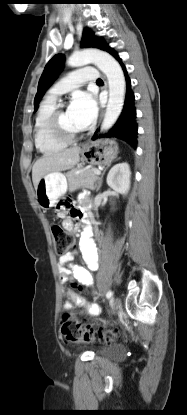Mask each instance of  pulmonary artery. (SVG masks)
Here are the masks:
<instances>
[{"label": "pulmonary artery", "instance_id": "pulmonary-artery-1", "mask_svg": "<svg viewBox=\"0 0 187 415\" xmlns=\"http://www.w3.org/2000/svg\"><path fill=\"white\" fill-rule=\"evenodd\" d=\"M98 77L99 72L91 66L72 71L50 89L48 98L55 100L58 96L81 86L85 82H96Z\"/></svg>", "mask_w": 187, "mask_h": 415}]
</instances>
